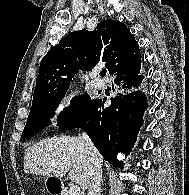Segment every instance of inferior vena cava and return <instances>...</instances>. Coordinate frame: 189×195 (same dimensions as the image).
Returning <instances> with one entry per match:
<instances>
[{"label":"inferior vena cava","instance_id":"602c4592","mask_svg":"<svg viewBox=\"0 0 189 195\" xmlns=\"http://www.w3.org/2000/svg\"><path fill=\"white\" fill-rule=\"evenodd\" d=\"M82 137L88 145V161L90 163L89 180L87 186L88 195H100L102 170L98 151L86 133H83Z\"/></svg>","mask_w":189,"mask_h":195}]
</instances>
